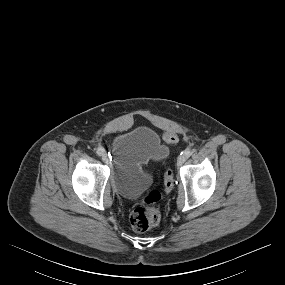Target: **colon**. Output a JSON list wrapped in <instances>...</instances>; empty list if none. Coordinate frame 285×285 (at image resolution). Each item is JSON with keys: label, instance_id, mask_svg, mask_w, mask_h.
I'll list each match as a JSON object with an SVG mask.
<instances>
[{"label": "colon", "instance_id": "1", "mask_svg": "<svg viewBox=\"0 0 285 285\" xmlns=\"http://www.w3.org/2000/svg\"><path fill=\"white\" fill-rule=\"evenodd\" d=\"M165 143L174 145L178 141L175 133L169 132L165 135ZM174 179L171 170H167L164 176V188L170 191L173 188ZM161 199V193L158 190L150 191L144 198L143 204L135 207L130 214V223L137 232H145L158 225L160 214L152 205Z\"/></svg>", "mask_w": 285, "mask_h": 285}]
</instances>
